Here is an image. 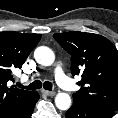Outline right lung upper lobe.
I'll list each match as a JSON object with an SVG mask.
<instances>
[{
	"instance_id": "1",
	"label": "right lung upper lobe",
	"mask_w": 118,
	"mask_h": 118,
	"mask_svg": "<svg viewBox=\"0 0 118 118\" xmlns=\"http://www.w3.org/2000/svg\"><path fill=\"white\" fill-rule=\"evenodd\" d=\"M40 39V34L0 32V118H20L37 101L36 91L10 87L7 82L13 80L12 70L21 68Z\"/></svg>"
}]
</instances>
